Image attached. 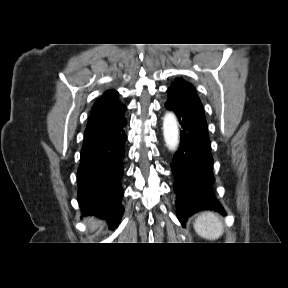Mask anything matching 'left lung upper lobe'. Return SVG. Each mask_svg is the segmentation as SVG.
Listing matches in <instances>:
<instances>
[{
  "instance_id": "1",
  "label": "left lung upper lobe",
  "mask_w": 288,
  "mask_h": 288,
  "mask_svg": "<svg viewBox=\"0 0 288 288\" xmlns=\"http://www.w3.org/2000/svg\"><path fill=\"white\" fill-rule=\"evenodd\" d=\"M168 93L190 94L197 96L195 88L192 84L182 80H175L167 90ZM198 97V96H197Z\"/></svg>"
}]
</instances>
